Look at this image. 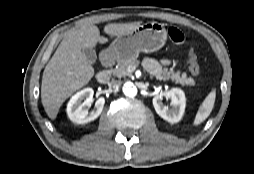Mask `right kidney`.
<instances>
[{
  "label": "right kidney",
  "mask_w": 254,
  "mask_h": 174,
  "mask_svg": "<svg viewBox=\"0 0 254 174\" xmlns=\"http://www.w3.org/2000/svg\"><path fill=\"white\" fill-rule=\"evenodd\" d=\"M93 94L92 88H84L71 97L67 105V114L72 122L85 124L95 120L101 114L105 103L104 98H99L95 102V109L91 112L88 111Z\"/></svg>",
  "instance_id": "ca27d5eb"
}]
</instances>
